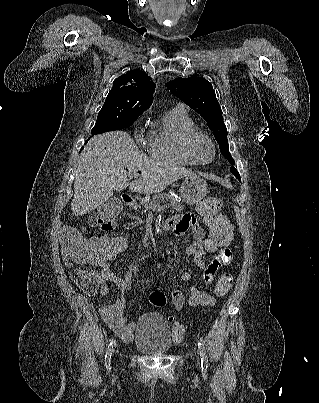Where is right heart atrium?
I'll use <instances>...</instances> for the list:
<instances>
[{
    "label": "right heart atrium",
    "instance_id": "1",
    "mask_svg": "<svg viewBox=\"0 0 319 403\" xmlns=\"http://www.w3.org/2000/svg\"><path fill=\"white\" fill-rule=\"evenodd\" d=\"M136 139H137V142L142 146L149 145V142H150V136L149 135L142 136L141 134L138 133L136 135Z\"/></svg>",
    "mask_w": 319,
    "mask_h": 403
}]
</instances>
